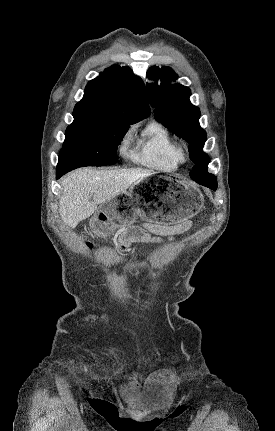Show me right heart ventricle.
Listing matches in <instances>:
<instances>
[{"label": "right heart ventricle", "mask_w": 275, "mask_h": 431, "mask_svg": "<svg viewBox=\"0 0 275 431\" xmlns=\"http://www.w3.org/2000/svg\"><path fill=\"white\" fill-rule=\"evenodd\" d=\"M134 157L140 164L160 171H173L184 160L181 146L167 128L157 122H151L143 131Z\"/></svg>", "instance_id": "1"}]
</instances>
